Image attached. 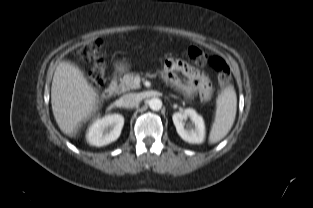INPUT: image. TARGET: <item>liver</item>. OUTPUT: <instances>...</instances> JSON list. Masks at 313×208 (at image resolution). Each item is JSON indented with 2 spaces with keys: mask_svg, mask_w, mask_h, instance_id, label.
Here are the masks:
<instances>
[{
  "mask_svg": "<svg viewBox=\"0 0 313 208\" xmlns=\"http://www.w3.org/2000/svg\"><path fill=\"white\" fill-rule=\"evenodd\" d=\"M51 104L56 123L68 135L97 110V95L81 70L70 62H61L54 73Z\"/></svg>",
  "mask_w": 313,
  "mask_h": 208,
  "instance_id": "6515ba94",
  "label": "liver"
}]
</instances>
